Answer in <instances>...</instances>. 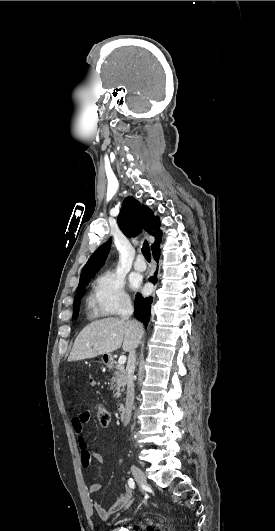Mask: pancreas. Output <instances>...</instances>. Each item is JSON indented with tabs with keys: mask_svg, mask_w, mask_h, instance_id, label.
<instances>
[{
	"mask_svg": "<svg viewBox=\"0 0 275 531\" xmlns=\"http://www.w3.org/2000/svg\"><path fill=\"white\" fill-rule=\"evenodd\" d=\"M108 369H114L113 371V377L110 379L111 381V389L114 391L115 399H118L120 397L122 389L126 387L127 383V373L124 369V365H116V363H113V365H108Z\"/></svg>",
	"mask_w": 275,
	"mask_h": 531,
	"instance_id": "cf45deb5",
	"label": "pancreas"
}]
</instances>
